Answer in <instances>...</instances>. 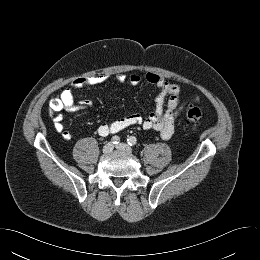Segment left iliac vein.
<instances>
[{
  "instance_id": "obj_1",
  "label": "left iliac vein",
  "mask_w": 260,
  "mask_h": 260,
  "mask_svg": "<svg viewBox=\"0 0 260 260\" xmlns=\"http://www.w3.org/2000/svg\"><path fill=\"white\" fill-rule=\"evenodd\" d=\"M116 148H117L118 150L125 151V152H128V153L131 152V148H130L127 144H125V143H119V144H117V145H116Z\"/></svg>"
}]
</instances>
